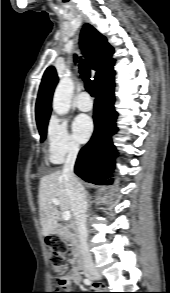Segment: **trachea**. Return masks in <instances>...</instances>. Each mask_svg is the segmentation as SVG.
<instances>
[{
  "label": "trachea",
  "instance_id": "3493384b",
  "mask_svg": "<svg viewBox=\"0 0 170 293\" xmlns=\"http://www.w3.org/2000/svg\"><path fill=\"white\" fill-rule=\"evenodd\" d=\"M79 67H80L81 77L85 83V89L87 92H89V94L92 97H94L95 96L94 84H93V81L90 79L91 77L90 69L84 60H80Z\"/></svg>",
  "mask_w": 170,
  "mask_h": 293
}]
</instances>
